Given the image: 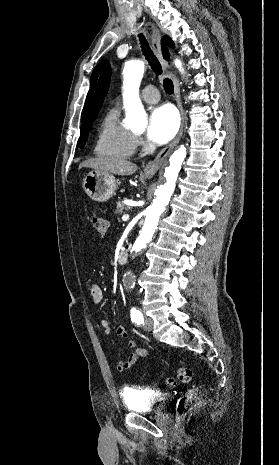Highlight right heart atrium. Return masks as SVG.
<instances>
[{
	"label": "right heart atrium",
	"instance_id": "d8ad5b80",
	"mask_svg": "<svg viewBox=\"0 0 279 465\" xmlns=\"http://www.w3.org/2000/svg\"><path fill=\"white\" fill-rule=\"evenodd\" d=\"M135 142H136V145H140L141 144V139L135 138Z\"/></svg>",
	"mask_w": 279,
	"mask_h": 465
}]
</instances>
